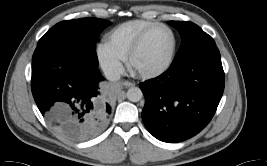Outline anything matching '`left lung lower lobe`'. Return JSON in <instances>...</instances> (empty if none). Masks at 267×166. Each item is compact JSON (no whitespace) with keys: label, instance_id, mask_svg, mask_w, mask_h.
Segmentation results:
<instances>
[{"label":"left lung lower lobe","instance_id":"left-lung-lower-lobe-1","mask_svg":"<svg viewBox=\"0 0 267 166\" xmlns=\"http://www.w3.org/2000/svg\"><path fill=\"white\" fill-rule=\"evenodd\" d=\"M224 83L216 46L173 62L160 76L139 84L145 96L144 125L163 142H181L195 136L215 114Z\"/></svg>","mask_w":267,"mask_h":166}]
</instances>
